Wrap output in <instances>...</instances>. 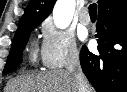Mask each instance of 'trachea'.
<instances>
[{"label": "trachea", "instance_id": "1", "mask_svg": "<svg viewBox=\"0 0 127 92\" xmlns=\"http://www.w3.org/2000/svg\"><path fill=\"white\" fill-rule=\"evenodd\" d=\"M89 15L90 16H97V5L95 3L89 6Z\"/></svg>", "mask_w": 127, "mask_h": 92}]
</instances>
